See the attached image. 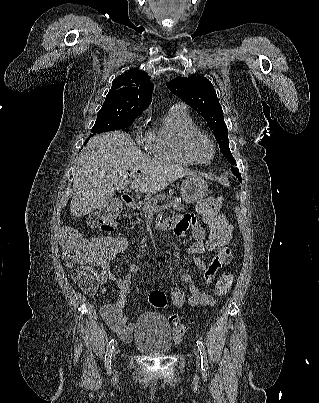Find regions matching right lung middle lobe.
Returning <instances> with one entry per match:
<instances>
[{
	"label": "right lung middle lobe",
	"instance_id": "obj_1",
	"mask_svg": "<svg viewBox=\"0 0 319 403\" xmlns=\"http://www.w3.org/2000/svg\"><path fill=\"white\" fill-rule=\"evenodd\" d=\"M141 113L142 111L124 105L103 104L91 133L97 134L129 127Z\"/></svg>",
	"mask_w": 319,
	"mask_h": 403
}]
</instances>
